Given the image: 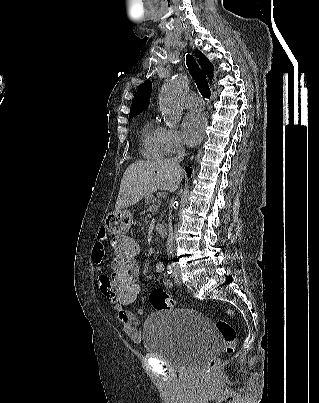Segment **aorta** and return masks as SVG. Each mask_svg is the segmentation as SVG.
Wrapping results in <instances>:
<instances>
[{"label":"aorta","instance_id":"aorta-1","mask_svg":"<svg viewBox=\"0 0 319 403\" xmlns=\"http://www.w3.org/2000/svg\"><path fill=\"white\" fill-rule=\"evenodd\" d=\"M187 79L181 74L174 75L162 87L159 108L169 127L176 126L182 118V97L187 89Z\"/></svg>","mask_w":319,"mask_h":403}]
</instances>
